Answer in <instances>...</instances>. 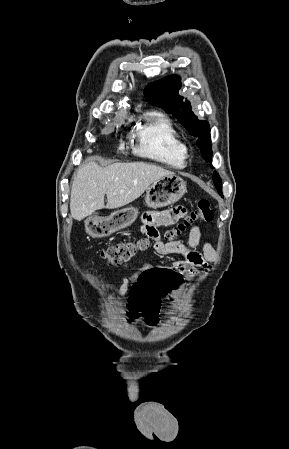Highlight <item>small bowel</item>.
<instances>
[{"mask_svg":"<svg viewBox=\"0 0 289 449\" xmlns=\"http://www.w3.org/2000/svg\"><path fill=\"white\" fill-rule=\"evenodd\" d=\"M184 207H175L163 212H145L142 217L140 233L146 235L153 242L155 252L161 256L169 257L171 268L181 272V279H193L198 276L201 270L205 269L209 262L216 259V252L209 243H201V233L197 227H193L189 234L187 245L179 242L163 243L157 227L171 224L185 214ZM201 247V252L199 248ZM180 256V257H178ZM143 268H161L150 264L143 265L136 273L130 277L122 279L118 291V298L125 296L129 290L134 289V283L137 282L140 271ZM130 285H132L130 289Z\"/></svg>","mask_w":289,"mask_h":449,"instance_id":"obj_1","label":"small bowel"}]
</instances>
